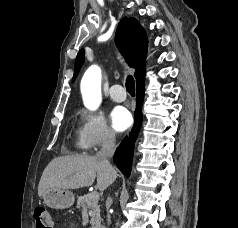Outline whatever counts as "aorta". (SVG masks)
Segmentation results:
<instances>
[{"instance_id":"1","label":"aorta","mask_w":238,"mask_h":228,"mask_svg":"<svg viewBox=\"0 0 238 228\" xmlns=\"http://www.w3.org/2000/svg\"><path fill=\"white\" fill-rule=\"evenodd\" d=\"M80 87L85 107L89 110H96L102 101L101 69L97 65H92L87 69Z\"/></svg>"}]
</instances>
